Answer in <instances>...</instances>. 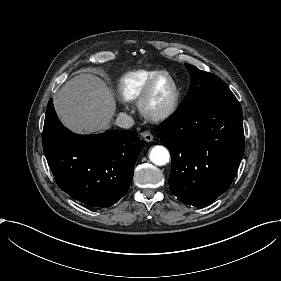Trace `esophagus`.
Listing matches in <instances>:
<instances>
[{
    "label": "esophagus",
    "mask_w": 281,
    "mask_h": 281,
    "mask_svg": "<svg viewBox=\"0 0 281 281\" xmlns=\"http://www.w3.org/2000/svg\"><path fill=\"white\" fill-rule=\"evenodd\" d=\"M141 136H142L143 140L146 142H152L154 139L153 135L148 131L143 132L141 134Z\"/></svg>",
    "instance_id": "1"
}]
</instances>
